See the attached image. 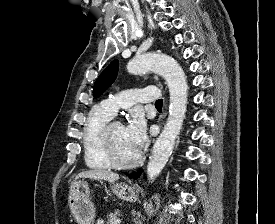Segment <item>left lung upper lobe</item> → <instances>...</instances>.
Listing matches in <instances>:
<instances>
[{
  "label": "left lung upper lobe",
  "instance_id": "1",
  "mask_svg": "<svg viewBox=\"0 0 275 224\" xmlns=\"http://www.w3.org/2000/svg\"><path fill=\"white\" fill-rule=\"evenodd\" d=\"M119 62L118 60L112 61L108 67L101 73L94 84L93 96L98 98L102 93L107 90L115 81L118 73Z\"/></svg>",
  "mask_w": 275,
  "mask_h": 224
}]
</instances>
